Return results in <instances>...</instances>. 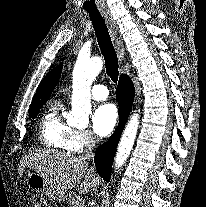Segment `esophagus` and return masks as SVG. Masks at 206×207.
<instances>
[{"label":"esophagus","instance_id":"1","mask_svg":"<svg viewBox=\"0 0 206 207\" xmlns=\"http://www.w3.org/2000/svg\"><path fill=\"white\" fill-rule=\"evenodd\" d=\"M101 15L103 16V18H104V20L110 30V34H111L113 43L115 45L119 61H120V63H122L124 60V47H123V43H122L120 33H119V28L116 24V21L114 20V18L109 10H102Z\"/></svg>","mask_w":206,"mask_h":207}]
</instances>
